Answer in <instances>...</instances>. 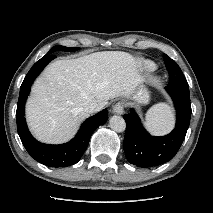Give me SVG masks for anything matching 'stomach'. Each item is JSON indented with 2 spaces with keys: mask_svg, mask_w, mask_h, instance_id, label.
<instances>
[{
  "mask_svg": "<svg viewBox=\"0 0 213 213\" xmlns=\"http://www.w3.org/2000/svg\"><path fill=\"white\" fill-rule=\"evenodd\" d=\"M149 92L143 86H139L129 97L136 104H147L149 102Z\"/></svg>",
  "mask_w": 213,
  "mask_h": 213,
  "instance_id": "0dacf381",
  "label": "stomach"
}]
</instances>
